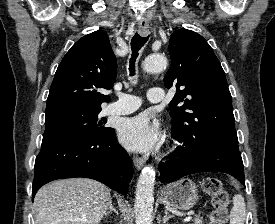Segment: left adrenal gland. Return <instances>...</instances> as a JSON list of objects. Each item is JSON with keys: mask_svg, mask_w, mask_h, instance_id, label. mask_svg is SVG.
Here are the masks:
<instances>
[{"mask_svg": "<svg viewBox=\"0 0 275 224\" xmlns=\"http://www.w3.org/2000/svg\"><path fill=\"white\" fill-rule=\"evenodd\" d=\"M164 213H165V215H164V217L162 219V222L164 224H166L169 221V219H171L173 216L169 215L167 210H165Z\"/></svg>", "mask_w": 275, "mask_h": 224, "instance_id": "left-adrenal-gland-1", "label": "left adrenal gland"}]
</instances>
